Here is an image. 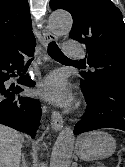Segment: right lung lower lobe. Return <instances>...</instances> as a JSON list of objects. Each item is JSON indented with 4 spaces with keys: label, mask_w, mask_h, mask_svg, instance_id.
<instances>
[{
    "label": "right lung lower lobe",
    "mask_w": 125,
    "mask_h": 167,
    "mask_svg": "<svg viewBox=\"0 0 125 167\" xmlns=\"http://www.w3.org/2000/svg\"><path fill=\"white\" fill-rule=\"evenodd\" d=\"M34 48L35 44L27 49L12 50L0 58V124L25 132L32 138L40 124V105L37 100L20 95L21 86L6 88L4 82L14 75V70L21 71L24 56H32ZM18 83L28 87L35 85L28 74L21 76Z\"/></svg>",
    "instance_id": "obj_1"
}]
</instances>
